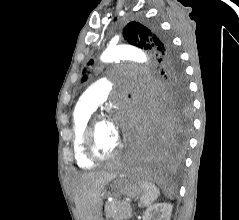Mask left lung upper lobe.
I'll return each instance as SVG.
<instances>
[{"label":"left lung upper lobe","instance_id":"1","mask_svg":"<svg viewBox=\"0 0 239 220\" xmlns=\"http://www.w3.org/2000/svg\"><path fill=\"white\" fill-rule=\"evenodd\" d=\"M123 36L129 44L154 54L163 67L162 75L167 83L159 96L160 106L166 108L175 126L186 130L190 122L191 103L185 83L183 68L169 39L155 24L144 26L130 22L123 29ZM93 60H90V64ZM87 76L84 75L82 81Z\"/></svg>","mask_w":239,"mask_h":220}]
</instances>
